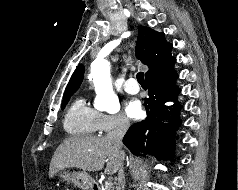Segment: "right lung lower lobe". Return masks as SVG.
<instances>
[{"label": "right lung lower lobe", "instance_id": "right-lung-lower-lobe-1", "mask_svg": "<svg viewBox=\"0 0 238 190\" xmlns=\"http://www.w3.org/2000/svg\"><path fill=\"white\" fill-rule=\"evenodd\" d=\"M175 60L161 72L146 79L149 98L146 99L147 117L144 121L132 125L123 138V143L133 153L153 154L157 159L167 160L173 157V134L181 120L180 104L169 111L165 102L176 99L180 89L175 87L177 74L173 66ZM164 119L169 120L164 122Z\"/></svg>", "mask_w": 238, "mask_h": 190}]
</instances>
